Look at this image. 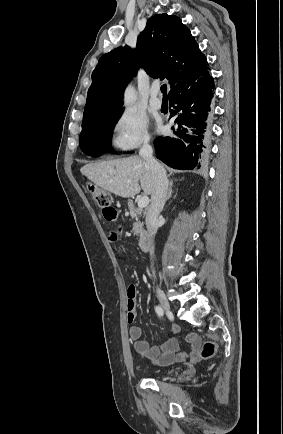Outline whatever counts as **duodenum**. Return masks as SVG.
I'll return each instance as SVG.
<instances>
[{
    "instance_id": "obj_1",
    "label": "duodenum",
    "mask_w": 283,
    "mask_h": 434,
    "mask_svg": "<svg viewBox=\"0 0 283 434\" xmlns=\"http://www.w3.org/2000/svg\"><path fill=\"white\" fill-rule=\"evenodd\" d=\"M128 207L130 209L131 212H135L136 211V205L133 201H129L128 202ZM151 236L149 233L145 232L142 234L141 238H140V246L142 248L143 251H148L151 245Z\"/></svg>"
}]
</instances>
